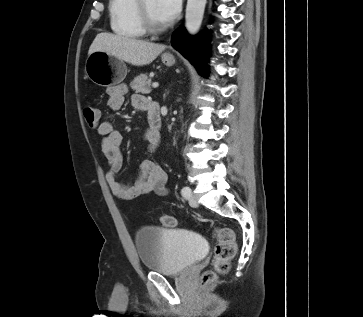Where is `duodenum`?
Instances as JSON below:
<instances>
[{
	"instance_id": "1",
	"label": "duodenum",
	"mask_w": 363,
	"mask_h": 317,
	"mask_svg": "<svg viewBox=\"0 0 363 317\" xmlns=\"http://www.w3.org/2000/svg\"><path fill=\"white\" fill-rule=\"evenodd\" d=\"M148 129L147 138L150 144L156 147L160 142L161 115L160 105L157 102L149 101L147 105Z\"/></svg>"
}]
</instances>
